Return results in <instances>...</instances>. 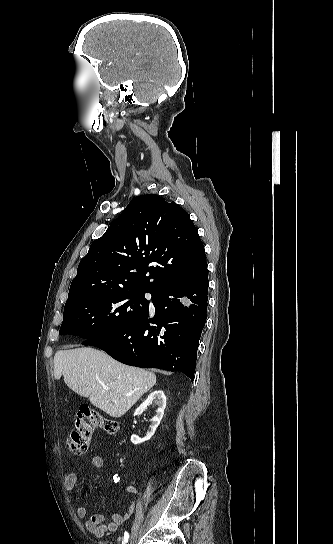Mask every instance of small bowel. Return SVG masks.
<instances>
[{"mask_svg": "<svg viewBox=\"0 0 333 544\" xmlns=\"http://www.w3.org/2000/svg\"><path fill=\"white\" fill-rule=\"evenodd\" d=\"M89 464H90L91 468H93V469H100L104 464V460H103V458L101 456L94 455V456H92L90 458ZM77 480H78V475H77L76 472L65 471V473L63 475L64 488L67 491L75 490L76 485H77ZM114 481L118 482L119 477L114 476ZM124 490H125V492L127 494L132 495V496L136 495V493H137V489L133 485L125 486ZM135 506H136L135 501L124 504L123 512L122 513H114L111 516V520L109 522L105 521V517H104L103 514L95 513V514H92V515H88V510H87V508L85 506H79L76 509V514L81 519L87 518L86 528L92 534H94L96 537L101 538V537H104L105 535H107L109 533H113V532L117 531L118 528L127 519H129L131 517V515H132V513H133V511L135 509Z\"/></svg>", "mask_w": 333, "mask_h": 544, "instance_id": "small-bowel-1", "label": "small bowel"}]
</instances>
